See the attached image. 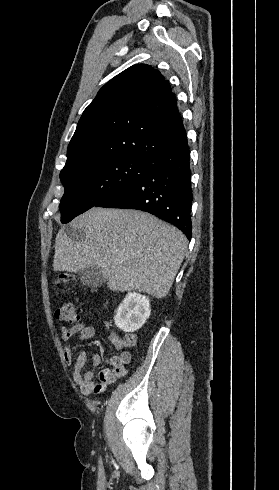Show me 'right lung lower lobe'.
<instances>
[{"label":"right lung lower lobe","instance_id":"obj_1","mask_svg":"<svg viewBox=\"0 0 279 490\" xmlns=\"http://www.w3.org/2000/svg\"><path fill=\"white\" fill-rule=\"evenodd\" d=\"M151 162L141 177L107 195L95 206L149 212L176 226L190 240L193 195L187 140Z\"/></svg>","mask_w":279,"mask_h":490}]
</instances>
